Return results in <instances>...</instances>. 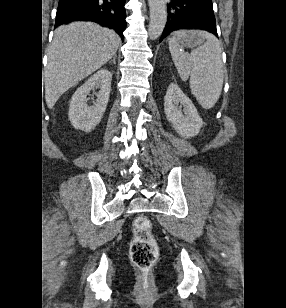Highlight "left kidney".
I'll use <instances>...</instances> for the list:
<instances>
[{
    "mask_svg": "<svg viewBox=\"0 0 286 308\" xmlns=\"http://www.w3.org/2000/svg\"><path fill=\"white\" fill-rule=\"evenodd\" d=\"M164 110L167 120L182 137L190 138L198 135L204 124L192 101L175 83L170 84L167 89Z\"/></svg>",
    "mask_w": 286,
    "mask_h": 308,
    "instance_id": "5707ae66",
    "label": "left kidney"
}]
</instances>
